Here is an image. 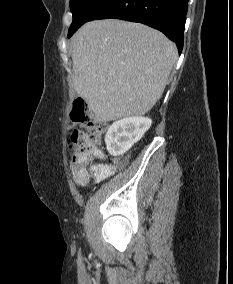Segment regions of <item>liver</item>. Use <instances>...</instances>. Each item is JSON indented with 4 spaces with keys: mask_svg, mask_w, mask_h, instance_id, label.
Segmentation results:
<instances>
[{
    "mask_svg": "<svg viewBox=\"0 0 233 284\" xmlns=\"http://www.w3.org/2000/svg\"><path fill=\"white\" fill-rule=\"evenodd\" d=\"M72 43L74 88L100 122L151 110L178 57L163 33L114 19L84 24Z\"/></svg>",
    "mask_w": 233,
    "mask_h": 284,
    "instance_id": "6515ba94",
    "label": "liver"
}]
</instances>
